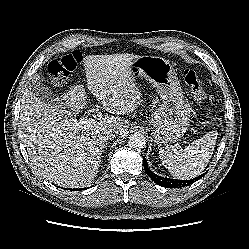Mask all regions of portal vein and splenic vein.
Returning a JSON list of instances; mask_svg holds the SVG:
<instances>
[{"instance_id": "1", "label": "portal vein and splenic vein", "mask_w": 249, "mask_h": 249, "mask_svg": "<svg viewBox=\"0 0 249 249\" xmlns=\"http://www.w3.org/2000/svg\"><path fill=\"white\" fill-rule=\"evenodd\" d=\"M100 115H101V113L99 111H97L94 118L100 117ZM93 121H94V119H92V118H84V119H81L77 123V126H79V127H83L84 126L85 127L87 125L92 124Z\"/></svg>"}]
</instances>
